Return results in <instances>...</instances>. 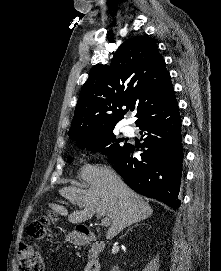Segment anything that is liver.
I'll return each mask as SVG.
<instances>
[{
    "mask_svg": "<svg viewBox=\"0 0 221 271\" xmlns=\"http://www.w3.org/2000/svg\"><path fill=\"white\" fill-rule=\"evenodd\" d=\"M80 177L90 183L89 189L64 187L60 189V193L84 209H76L69 213L64 205L49 203L57 213L68 215L71 223L87 221L93 217L94 213L107 215L112 223L106 237L112 239L124 227H129L132 223H137L152 215L153 209L150 203L144 201L139 193L130 189L112 167L86 163L80 171Z\"/></svg>",
    "mask_w": 221,
    "mask_h": 271,
    "instance_id": "6515ba94",
    "label": "liver"
}]
</instances>
